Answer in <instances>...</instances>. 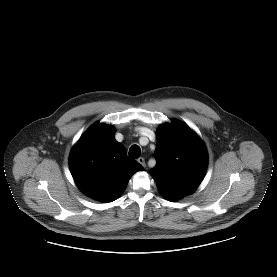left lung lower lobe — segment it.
Here are the masks:
<instances>
[{"label": "left lung lower lobe", "mask_w": 277, "mask_h": 277, "mask_svg": "<svg viewBox=\"0 0 277 277\" xmlns=\"http://www.w3.org/2000/svg\"><path fill=\"white\" fill-rule=\"evenodd\" d=\"M168 200L174 201V200H178V199H168Z\"/></svg>", "instance_id": "obj_1"}]
</instances>
